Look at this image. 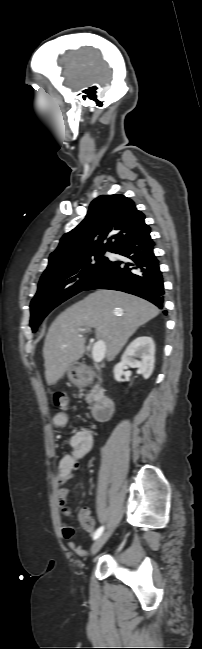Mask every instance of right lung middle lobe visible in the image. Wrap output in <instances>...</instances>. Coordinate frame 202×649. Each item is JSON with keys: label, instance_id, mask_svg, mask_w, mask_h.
<instances>
[{"label": "right lung middle lobe", "instance_id": "1", "mask_svg": "<svg viewBox=\"0 0 202 649\" xmlns=\"http://www.w3.org/2000/svg\"><path fill=\"white\" fill-rule=\"evenodd\" d=\"M105 251H93L77 257L64 271L41 277L38 291L31 301L30 326L33 332L46 315L60 303L84 290L109 262Z\"/></svg>", "mask_w": 202, "mask_h": 649}]
</instances>
